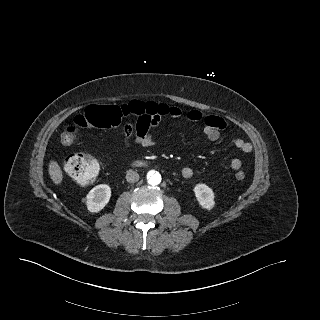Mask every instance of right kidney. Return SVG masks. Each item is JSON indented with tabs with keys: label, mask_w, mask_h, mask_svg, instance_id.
Here are the masks:
<instances>
[{
	"label": "right kidney",
	"mask_w": 320,
	"mask_h": 320,
	"mask_svg": "<svg viewBox=\"0 0 320 320\" xmlns=\"http://www.w3.org/2000/svg\"><path fill=\"white\" fill-rule=\"evenodd\" d=\"M111 188L107 184L95 186L86 196V207L89 212L96 213L101 211L109 202Z\"/></svg>",
	"instance_id": "ca27d5eb"
}]
</instances>
